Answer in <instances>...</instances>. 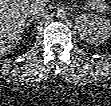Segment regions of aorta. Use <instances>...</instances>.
Wrapping results in <instances>:
<instances>
[{
  "instance_id": "1",
  "label": "aorta",
  "mask_w": 111,
  "mask_h": 106,
  "mask_svg": "<svg viewBox=\"0 0 111 106\" xmlns=\"http://www.w3.org/2000/svg\"><path fill=\"white\" fill-rule=\"evenodd\" d=\"M56 17L58 19L64 20L66 18V12L63 9H58Z\"/></svg>"
}]
</instances>
